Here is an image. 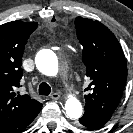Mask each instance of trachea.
<instances>
[{
  "label": "trachea",
  "mask_w": 133,
  "mask_h": 133,
  "mask_svg": "<svg viewBox=\"0 0 133 133\" xmlns=\"http://www.w3.org/2000/svg\"><path fill=\"white\" fill-rule=\"evenodd\" d=\"M51 93V87L47 83H41L39 86L40 95H49Z\"/></svg>",
  "instance_id": "obj_1"
}]
</instances>
